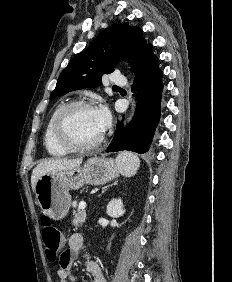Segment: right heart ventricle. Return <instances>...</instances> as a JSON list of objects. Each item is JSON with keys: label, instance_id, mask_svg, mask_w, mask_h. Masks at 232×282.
<instances>
[{"label": "right heart ventricle", "instance_id": "1", "mask_svg": "<svg viewBox=\"0 0 232 282\" xmlns=\"http://www.w3.org/2000/svg\"><path fill=\"white\" fill-rule=\"evenodd\" d=\"M62 106H58L51 114L44 132V145L49 155L53 157H63L70 151L60 146L53 137V122Z\"/></svg>", "mask_w": 232, "mask_h": 282}]
</instances>
